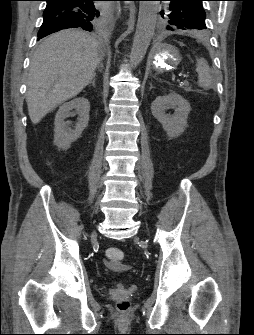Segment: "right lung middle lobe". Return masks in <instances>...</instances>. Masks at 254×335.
<instances>
[{"mask_svg":"<svg viewBox=\"0 0 254 335\" xmlns=\"http://www.w3.org/2000/svg\"><path fill=\"white\" fill-rule=\"evenodd\" d=\"M103 15H104V11L103 10L97 11L96 15L94 17L95 23H97L101 19V17H103Z\"/></svg>","mask_w":254,"mask_h":335,"instance_id":"obj_1","label":"right lung middle lobe"}]
</instances>
